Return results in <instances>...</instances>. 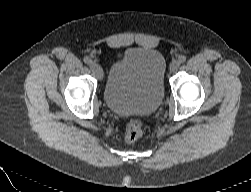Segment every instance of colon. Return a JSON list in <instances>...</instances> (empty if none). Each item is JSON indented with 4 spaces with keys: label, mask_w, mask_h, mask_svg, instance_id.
Segmentation results:
<instances>
[{
    "label": "colon",
    "mask_w": 251,
    "mask_h": 192,
    "mask_svg": "<svg viewBox=\"0 0 251 192\" xmlns=\"http://www.w3.org/2000/svg\"><path fill=\"white\" fill-rule=\"evenodd\" d=\"M143 134L142 124L139 119H132L126 126L124 138L127 142H135Z\"/></svg>",
    "instance_id": "obj_1"
}]
</instances>
